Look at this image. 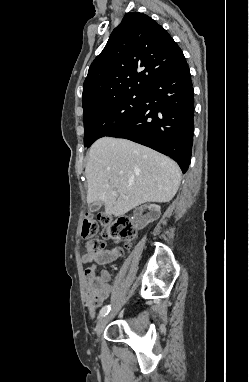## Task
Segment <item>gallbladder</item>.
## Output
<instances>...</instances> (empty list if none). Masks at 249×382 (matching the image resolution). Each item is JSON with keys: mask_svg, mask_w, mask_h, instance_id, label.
Returning <instances> with one entry per match:
<instances>
[{"mask_svg": "<svg viewBox=\"0 0 249 382\" xmlns=\"http://www.w3.org/2000/svg\"><path fill=\"white\" fill-rule=\"evenodd\" d=\"M102 202H94L89 205V211L90 212H96L102 207Z\"/></svg>", "mask_w": 249, "mask_h": 382, "instance_id": "gallbladder-1", "label": "gallbladder"}]
</instances>
